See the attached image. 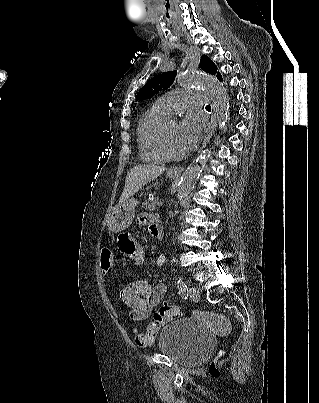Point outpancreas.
Returning <instances> with one entry per match:
<instances>
[{"instance_id":"obj_1","label":"pancreas","mask_w":319,"mask_h":403,"mask_svg":"<svg viewBox=\"0 0 319 403\" xmlns=\"http://www.w3.org/2000/svg\"><path fill=\"white\" fill-rule=\"evenodd\" d=\"M144 206L148 211H155L158 208L156 200H148L144 203Z\"/></svg>"}]
</instances>
